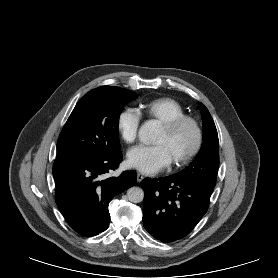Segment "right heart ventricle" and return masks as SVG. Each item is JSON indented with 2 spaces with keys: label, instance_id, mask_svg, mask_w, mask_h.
I'll return each instance as SVG.
<instances>
[{
  "label": "right heart ventricle",
  "instance_id": "1",
  "mask_svg": "<svg viewBox=\"0 0 278 278\" xmlns=\"http://www.w3.org/2000/svg\"><path fill=\"white\" fill-rule=\"evenodd\" d=\"M139 114L164 124L177 117L186 115V112L177 100L161 97L141 103Z\"/></svg>",
  "mask_w": 278,
  "mask_h": 278
}]
</instances>
